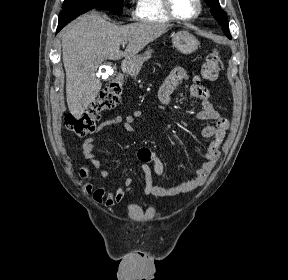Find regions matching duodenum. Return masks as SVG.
I'll use <instances>...</instances> for the list:
<instances>
[{"label":"duodenum","instance_id":"obj_1","mask_svg":"<svg viewBox=\"0 0 288 280\" xmlns=\"http://www.w3.org/2000/svg\"><path fill=\"white\" fill-rule=\"evenodd\" d=\"M122 69H123V72L127 75H132L134 72L132 65L127 60L123 62Z\"/></svg>","mask_w":288,"mask_h":280}]
</instances>
